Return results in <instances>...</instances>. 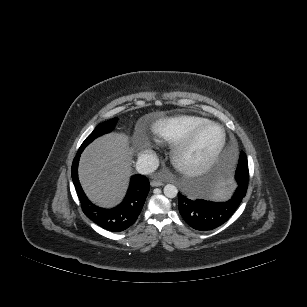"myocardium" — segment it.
<instances>
[{"mask_svg": "<svg viewBox=\"0 0 307 307\" xmlns=\"http://www.w3.org/2000/svg\"><path fill=\"white\" fill-rule=\"evenodd\" d=\"M209 127H216L220 130L221 139L216 148L206 158L199 162L187 163L184 161L183 156L192 148L199 135ZM226 144V133L221 125L216 122H207L195 128L183 140L178 142L171 153V158L175 166L187 175H199L206 172L216 162L222 153Z\"/></svg>", "mask_w": 307, "mask_h": 307, "instance_id": "f54148a6", "label": "myocardium"}]
</instances>
